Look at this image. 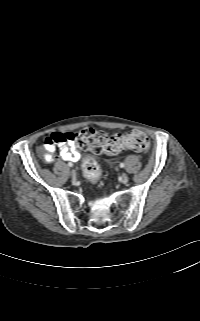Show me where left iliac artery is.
Wrapping results in <instances>:
<instances>
[{
  "label": "left iliac artery",
  "instance_id": "44dca946",
  "mask_svg": "<svg viewBox=\"0 0 200 321\" xmlns=\"http://www.w3.org/2000/svg\"><path fill=\"white\" fill-rule=\"evenodd\" d=\"M125 166L124 163H120V167L123 168Z\"/></svg>",
  "mask_w": 200,
  "mask_h": 321
}]
</instances>
